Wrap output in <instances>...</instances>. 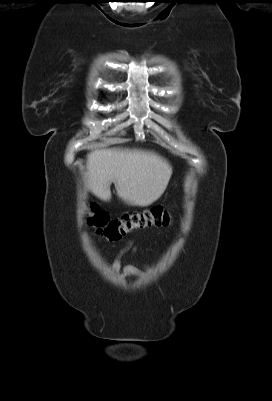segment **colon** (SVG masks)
I'll return each instance as SVG.
<instances>
[{
	"label": "colon",
	"mask_w": 272,
	"mask_h": 401,
	"mask_svg": "<svg viewBox=\"0 0 272 401\" xmlns=\"http://www.w3.org/2000/svg\"><path fill=\"white\" fill-rule=\"evenodd\" d=\"M90 211L89 225L99 237L109 241L119 240L140 229L167 227L172 221L170 213L160 206L143 211L127 212L115 218L100 210L96 204L90 205Z\"/></svg>",
	"instance_id": "1"
}]
</instances>
